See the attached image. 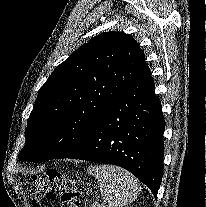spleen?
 <instances>
[{"label": "spleen", "instance_id": "obj_1", "mask_svg": "<svg viewBox=\"0 0 206 207\" xmlns=\"http://www.w3.org/2000/svg\"><path fill=\"white\" fill-rule=\"evenodd\" d=\"M87 172L98 180L107 207L127 206L141 190L138 180L122 168L102 164L88 167Z\"/></svg>", "mask_w": 206, "mask_h": 207}]
</instances>
